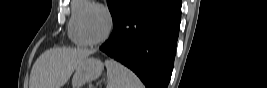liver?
Instances as JSON below:
<instances>
[{"label":"liver","instance_id":"6515ba94","mask_svg":"<svg viewBox=\"0 0 267 88\" xmlns=\"http://www.w3.org/2000/svg\"><path fill=\"white\" fill-rule=\"evenodd\" d=\"M92 53L90 50L70 48L45 51L32 67L29 88H61L78 63Z\"/></svg>","mask_w":267,"mask_h":88}]
</instances>
